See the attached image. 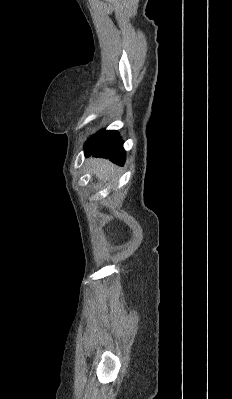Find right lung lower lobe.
<instances>
[{
    "mask_svg": "<svg viewBox=\"0 0 232 399\" xmlns=\"http://www.w3.org/2000/svg\"><path fill=\"white\" fill-rule=\"evenodd\" d=\"M84 150L86 156L108 158L117 164L125 161V151L117 131H99L85 143Z\"/></svg>",
    "mask_w": 232,
    "mask_h": 399,
    "instance_id": "98d812e1",
    "label": "right lung lower lobe"
}]
</instances>
